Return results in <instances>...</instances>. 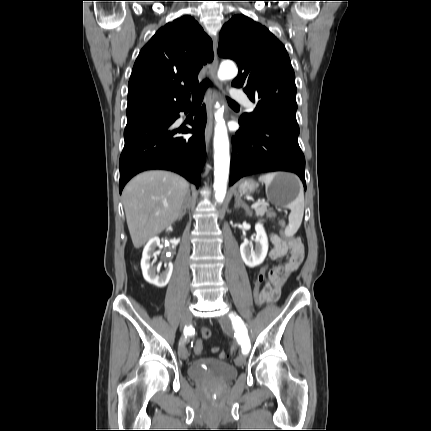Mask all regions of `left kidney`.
Returning a JSON list of instances; mask_svg holds the SVG:
<instances>
[{"instance_id": "5707ae66", "label": "left kidney", "mask_w": 431, "mask_h": 431, "mask_svg": "<svg viewBox=\"0 0 431 431\" xmlns=\"http://www.w3.org/2000/svg\"><path fill=\"white\" fill-rule=\"evenodd\" d=\"M256 237L255 245L252 242L245 241L240 245V253L244 263L254 268L263 263L268 252V239L261 223L255 225Z\"/></svg>"}]
</instances>
